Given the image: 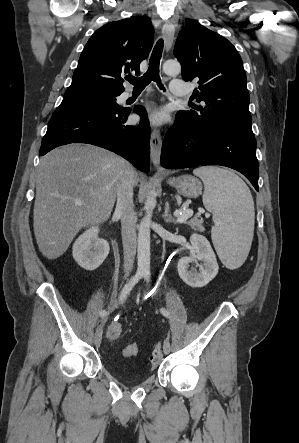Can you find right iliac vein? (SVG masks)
I'll return each instance as SVG.
<instances>
[{"mask_svg":"<svg viewBox=\"0 0 299 443\" xmlns=\"http://www.w3.org/2000/svg\"><path fill=\"white\" fill-rule=\"evenodd\" d=\"M102 323L97 327L94 334V343L96 346L100 345L102 340Z\"/></svg>","mask_w":299,"mask_h":443,"instance_id":"63e3f726","label":"right iliac vein"}]
</instances>
